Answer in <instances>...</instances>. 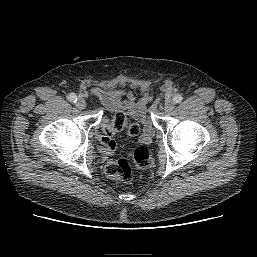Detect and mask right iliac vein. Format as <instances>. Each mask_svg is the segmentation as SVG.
Returning a JSON list of instances; mask_svg holds the SVG:
<instances>
[{
  "label": "right iliac vein",
  "mask_w": 257,
  "mask_h": 257,
  "mask_svg": "<svg viewBox=\"0 0 257 257\" xmlns=\"http://www.w3.org/2000/svg\"><path fill=\"white\" fill-rule=\"evenodd\" d=\"M76 107H77L78 109H85V107H86V102H85V100L82 99V98H79V99L77 100V102H76Z\"/></svg>",
  "instance_id": "obj_1"
}]
</instances>
